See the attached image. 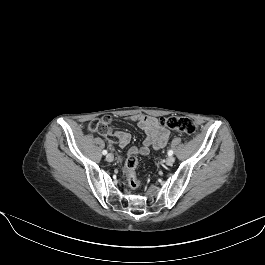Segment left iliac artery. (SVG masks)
<instances>
[{"instance_id": "obj_1", "label": "left iliac artery", "mask_w": 265, "mask_h": 265, "mask_svg": "<svg viewBox=\"0 0 265 265\" xmlns=\"http://www.w3.org/2000/svg\"><path fill=\"white\" fill-rule=\"evenodd\" d=\"M168 155L169 156H172L173 155V151L171 149L168 151Z\"/></svg>"}]
</instances>
